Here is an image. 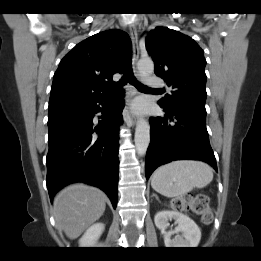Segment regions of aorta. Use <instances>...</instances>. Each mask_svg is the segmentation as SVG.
Wrapping results in <instances>:
<instances>
[{
    "instance_id": "1",
    "label": "aorta",
    "mask_w": 261,
    "mask_h": 261,
    "mask_svg": "<svg viewBox=\"0 0 261 261\" xmlns=\"http://www.w3.org/2000/svg\"><path fill=\"white\" fill-rule=\"evenodd\" d=\"M137 67L139 75L142 78L148 77L154 71V63L148 57L141 58L138 61ZM134 141L138 155H144L150 143V126L143 118H140L137 122Z\"/></svg>"
}]
</instances>
